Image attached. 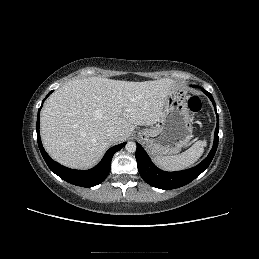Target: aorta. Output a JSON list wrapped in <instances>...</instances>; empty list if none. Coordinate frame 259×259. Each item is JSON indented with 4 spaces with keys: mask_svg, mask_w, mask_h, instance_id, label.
Here are the masks:
<instances>
[{
    "mask_svg": "<svg viewBox=\"0 0 259 259\" xmlns=\"http://www.w3.org/2000/svg\"><path fill=\"white\" fill-rule=\"evenodd\" d=\"M125 148L129 153H134L136 151L137 146L135 142L129 141L126 144Z\"/></svg>",
    "mask_w": 259,
    "mask_h": 259,
    "instance_id": "1",
    "label": "aorta"
}]
</instances>
